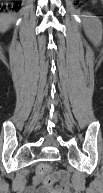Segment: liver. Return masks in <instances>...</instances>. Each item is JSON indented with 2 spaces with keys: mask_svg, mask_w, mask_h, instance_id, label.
<instances>
[{
  "mask_svg": "<svg viewBox=\"0 0 103 193\" xmlns=\"http://www.w3.org/2000/svg\"><path fill=\"white\" fill-rule=\"evenodd\" d=\"M13 22V18L8 15V16H3L2 17V23H3V31L7 30L9 25Z\"/></svg>",
  "mask_w": 103,
  "mask_h": 193,
  "instance_id": "obj_1",
  "label": "liver"
}]
</instances>
